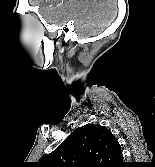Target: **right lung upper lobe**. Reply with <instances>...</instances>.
Returning a JSON list of instances; mask_svg holds the SVG:
<instances>
[{"label": "right lung upper lobe", "mask_w": 155, "mask_h": 167, "mask_svg": "<svg viewBox=\"0 0 155 167\" xmlns=\"http://www.w3.org/2000/svg\"><path fill=\"white\" fill-rule=\"evenodd\" d=\"M122 163L117 139L98 124L77 128L53 152L40 159L42 167H119Z\"/></svg>", "instance_id": "cb5924a9"}]
</instances>
